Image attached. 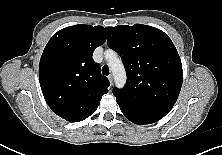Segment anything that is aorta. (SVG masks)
<instances>
[{
    "label": "aorta",
    "mask_w": 222,
    "mask_h": 155,
    "mask_svg": "<svg viewBox=\"0 0 222 155\" xmlns=\"http://www.w3.org/2000/svg\"><path fill=\"white\" fill-rule=\"evenodd\" d=\"M108 65L113 73L115 85L122 88L126 83V71L121 59L113 51L109 54Z\"/></svg>",
    "instance_id": "obj_1"
}]
</instances>
